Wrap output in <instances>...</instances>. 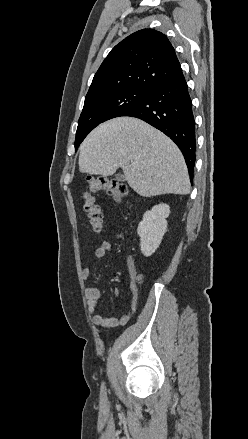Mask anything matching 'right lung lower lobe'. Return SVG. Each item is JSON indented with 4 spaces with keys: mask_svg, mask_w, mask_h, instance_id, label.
<instances>
[{
    "mask_svg": "<svg viewBox=\"0 0 248 439\" xmlns=\"http://www.w3.org/2000/svg\"><path fill=\"white\" fill-rule=\"evenodd\" d=\"M120 116L139 118L170 137L182 151L193 179L195 165V121L183 73L149 91Z\"/></svg>",
    "mask_w": 248,
    "mask_h": 439,
    "instance_id": "1",
    "label": "right lung lower lobe"
}]
</instances>
